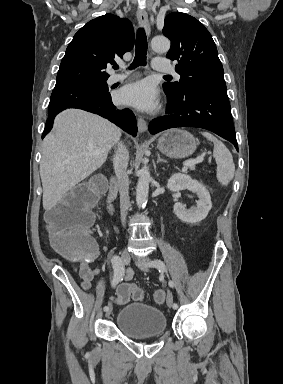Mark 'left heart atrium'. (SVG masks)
<instances>
[{
  "mask_svg": "<svg viewBox=\"0 0 283 384\" xmlns=\"http://www.w3.org/2000/svg\"><path fill=\"white\" fill-rule=\"evenodd\" d=\"M117 101L122 105L133 106L142 111H150L157 104V89L147 80L123 87L117 93Z\"/></svg>",
  "mask_w": 283,
  "mask_h": 384,
  "instance_id": "obj_1",
  "label": "left heart atrium"
}]
</instances>
